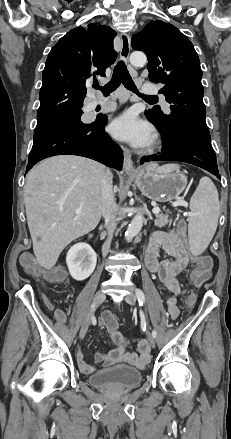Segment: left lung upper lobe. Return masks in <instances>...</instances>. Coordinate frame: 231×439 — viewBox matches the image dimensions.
<instances>
[{"mask_svg": "<svg viewBox=\"0 0 231 439\" xmlns=\"http://www.w3.org/2000/svg\"><path fill=\"white\" fill-rule=\"evenodd\" d=\"M131 45L147 55L149 79L164 84L159 93L171 104L169 115L149 109L145 111L147 118L161 131L185 124L209 132L200 61L189 39L175 26L157 20L135 34Z\"/></svg>", "mask_w": 231, "mask_h": 439, "instance_id": "5c2ea615", "label": "left lung upper lobe"}]
</instances>
